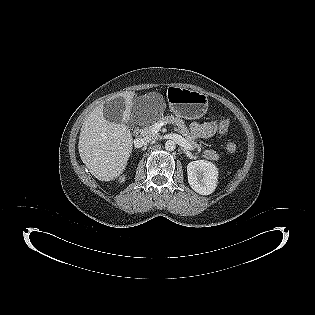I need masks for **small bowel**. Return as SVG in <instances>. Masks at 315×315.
Wrapping results in <instances>:
<instances>
[{
    "label": "small bowel",
    "instance_id": "c3829d8e",
    "mask_svg": "<svg viewBox=\"0 0 315 315\" xmlns=\"http://www.w3.org/2000/svg\"><path fill=\"white\" fill-rule=\"evenodd\" d=\"M219 122L212 121L206 123L193 122L191 124V131L194 135L201 138H211L218 130Z\"/></svg>",
    "mask_w": 315,
    "mask_h": 315
}]
</instances>
